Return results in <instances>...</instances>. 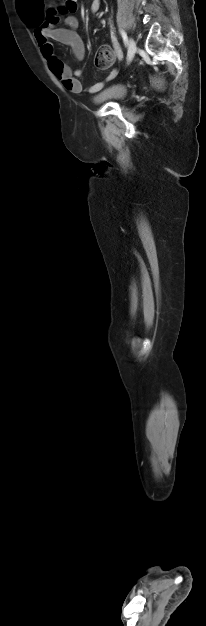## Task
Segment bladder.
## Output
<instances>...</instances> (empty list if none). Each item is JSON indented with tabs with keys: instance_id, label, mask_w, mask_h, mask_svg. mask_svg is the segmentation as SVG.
Returning a JSON list of instances; mask_svg holds the SVG:
<instances>
[{
	"instance_id": "bladder-1",
	"label": "bladder",
	"mask_w": 206,
	"mask_h": 626,
	"mask_svg": "<svg viewBox=\"0 0 206 626\" xmlns=\"http://www.w3.org/2000/svg\"><path fill=\"white\" fill-rule=\"evenodd\" d=\"M127 94V89L125 86L121 84L111 85L100 93H98L94 97V101L96 103H104V102H121Z\"/></svg>"
}]
</instances>
